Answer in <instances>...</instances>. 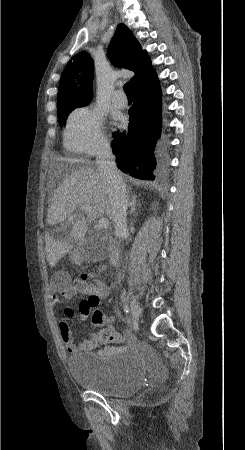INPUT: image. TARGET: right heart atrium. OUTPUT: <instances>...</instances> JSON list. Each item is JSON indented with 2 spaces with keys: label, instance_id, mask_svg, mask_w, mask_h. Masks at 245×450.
<instances>
[{
  "label": "right heart atrium",
  "instance_id": "1",
  "mask_svg": "<svg viewBox=\"0 0 245 450\" xmlns=\"http://www.w3.org/2000/svg\"><path fill=\"white\" fill-rule=\"evenodd\" d=\"M64 145L72 153L92 156L106 149L104 117L93 106L75 109L68 117Z\"/></svg>",
  "mask_w": 245,
  "mask_h": 450
}]
</instances>
